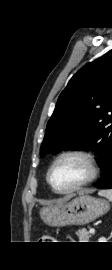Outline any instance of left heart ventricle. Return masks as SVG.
<instances>
[{
    "label": "left heart ventricle",
    "mask_w": 112,
    "mask_h": 270,
    "mask_svg": "<svg viewBox=\"0 0 112 270\" xmlns=\"http://www.w3.org/2000/svg\"><path fill=\"white\" fill-rule=\"evenodd\" d=\"M88 172L84 160L78 157H66L52 171L51 181L58 190H66L83 181Z\"/></svg>",
    "instance_id": "left-heart-ventricle-1"
}]
</instances>
